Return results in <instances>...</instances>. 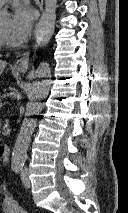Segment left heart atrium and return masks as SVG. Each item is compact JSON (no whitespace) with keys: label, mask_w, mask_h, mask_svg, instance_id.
<instances>
[{"label":"left heart atrium","mask_w":128,"mask_h":213,"mask_svg":"<svg viewBox=\"0 0 128 213\" xmlns=\"http://www.w3.org/2000/svg\"><path fill=\"white\" fill-rule=\"evenodd\" d=\"M34 15L25 5H17L13 10L10 36L15 44L24 43L30 35Z\"/></svg>","instance_id":"left-heart-atrium-1"}]
</instances>
